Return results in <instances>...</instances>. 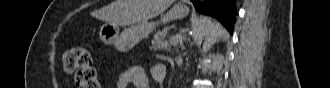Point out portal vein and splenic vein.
Listing matches in <instances>:
<instances>
[{
    "label": "portal vein and splenic vein",
    "instance_id": "1",
    "mask_svg": "<svg viewBox=\"0 0 330 88\" xmlns=\"http://www.w3.org/2000/svg\"><path fill=\"white\" fill-rule=\"evenodd\" d=\"M179 39H181V36H174L170 39V41H178Z\"/></svg>",
    "mask_w": 330,
    "mask_h": 88
}]
</instances>
